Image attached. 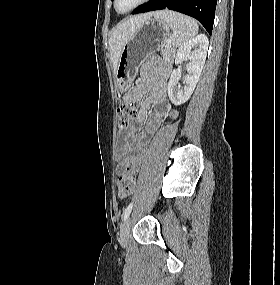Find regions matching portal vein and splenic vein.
Listing matches in <instances>:
<instances>
[{
  "label": "portal vein and splenic vein",
  "mask_w": 280,
  "mask_h": 285,
  "mask_svg": "<svg viewBox=\"0 0 280 285\" xmlns=\"http://www.w3.org/2000/svg\"><path fill=\"white\" fill-rule=\"evenodd\" d=\"M166 47H171V40H167V44H166Z\"/></svg>",
  "instance_id": "18ae733b"
}]
</instances>
